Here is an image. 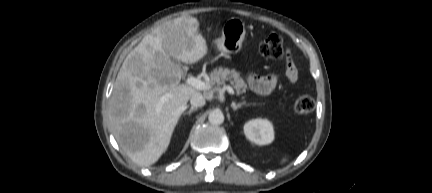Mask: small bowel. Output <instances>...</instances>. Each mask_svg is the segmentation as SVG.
Returning <instances> with one entry per match:
<instances>
[{"mask_svg": "<svg viewBox=\"0 0 432 193\" xmlns=\"http://www.w3.org/2000/svg\"><path fill=\"white\" fill-rule=\"evenodd\" d=\"M297 70L291 61H288L285 78L290 82L294 83L297 80ZM280 78L275 75L259 76L255 74H249L247 77L248 85L250 89L260 95H268L272 93L279 83Z\"/></svg>", "mask_w": 432, "mask_h": 193, "instance_id": "1", "label": "small bowel"}]
</instances>
